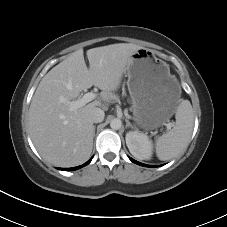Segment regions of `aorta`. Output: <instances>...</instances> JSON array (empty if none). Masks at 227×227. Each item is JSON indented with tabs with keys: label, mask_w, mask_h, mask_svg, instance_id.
Returning <instances> with one entry per match:
<instances>
[{
	"label": "aorta",
	"mask_w": 227,
	"mask_h": 227,
	"mask_svg": "<svg viewBox=\"0 0 227 227\" xmlns=\"http://www.w3.org/2000/svg\"><path fill=\"white\" fill-rule=\"evenodd\" d=\"M122 126V122L120 119H113L111 122H110V127L113 129V130H119Z\"/></svg>",
	"instance_id": "obj_1"
}]
</instances>
